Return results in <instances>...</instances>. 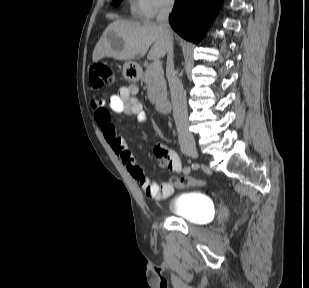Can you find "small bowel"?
<instances>
[{"mask_svg": "<svg viewBox=\"0 0 309 288\" xmlns=\"http://www.w3.org/2000/svg\"><path fill=\"white\" fill-rule=\"evenodd\" d=\"M136 92V86H123L106 100L92 101L91 107L104 140L120 159L129 175L140 184L147 197L154 200H164L173 194L175 186L170 182L156 183L144 173L136 164L133 153L128 148L125 135L116 130L111 118L110 110L124 114L139 123L147 121L146 112L143 111L141 104L135 98ZM155 155L161 166L173 171L181 170L180 158L172 149L159 146L155 150Z\"/></svg>", "mask_w": 309, "mask_h": 288, "instance_id": "obj_1", "label": "small bowel"}]
</instances>
